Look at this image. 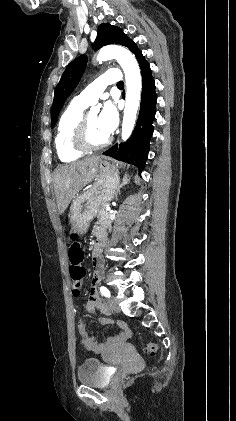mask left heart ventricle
I'll return each instance as SVG.
<instances>
[{"label":"left heart ventricle","instance_id":"left-heart-ventricle-1","mask_svg":"<svg viewBox=\"0 0 236 421\" xmlns=\"http://www.w3.org/2000/svg\"><path fill=\"white\" fill-rule=\"evenodd\" d=\"M86 137L91 144H100L108 137V134L100 125L98 113H88Z\"/></svg>","mask_w":236,"mask_h":421}]
</instances>
